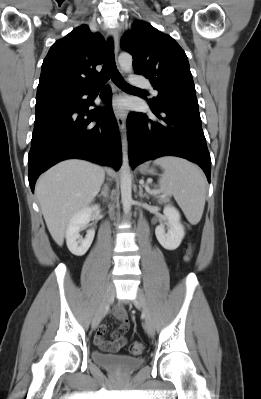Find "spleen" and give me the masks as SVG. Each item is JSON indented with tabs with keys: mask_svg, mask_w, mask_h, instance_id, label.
I'll return each instance as SVG.
<instances>
[{
	"mask_svg": "<svg viewBox=\"0 0 261 399\" xmlns=\"http://www.w3.org/2000/svg\"><path fill=\"white\" fill-rule=\"evenodd\" d=\"M154 164L164 170L159 179L161 190L174 196L188 221L197 224L205 206L206 178L203 172L195 164L178 157H162Z\"/></svg>",
	"mask_w": 261,
	"mask_h": 399,
	"instance_id": "3e777b00",
	"label": "spleen"
}]
</instances>
